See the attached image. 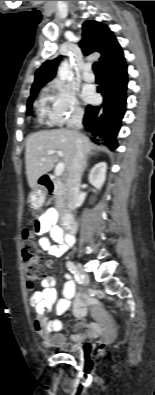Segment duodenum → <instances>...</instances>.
I'll use <instances>...</instances> for the list:
<instances>
[{
	"label": "duodenum",
	"instance_id": "duodenum-1",
	"mask_svg": "<svg viewBox=\"0 0 155 395\" xmlns=\"http://www.w3.org/2000/svg\"><path fill=\"white\" fill-rule=\"evenodd\" d=\"M46 186L48 188L52 187V183L49 179H46ZM63 228L70 234L74 233L77 229V222L71 216H64L62 220Z\"/></svg>",
	"mask_w": 155,
	"mask_h": 395
}]
</instances>
